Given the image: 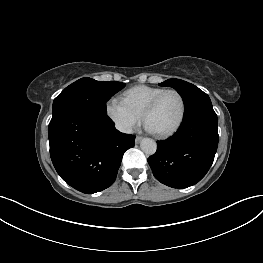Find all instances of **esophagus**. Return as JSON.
<instances>
[{"mask_svg": "<svg viewBox=\"0 0 263 263\" xmlns=\"http://www.w3.org/2000/svg\"><path fill=\"white\" fill-rule=\"evenodd\" d=\"M141 140H142V137L141 136H137L135 138V143L138 144Z\"/></svg>", "mask_w": 263, "mask_h": 263, "instance_id": "obj_1", "label": "esophagus"}]
</instances>
